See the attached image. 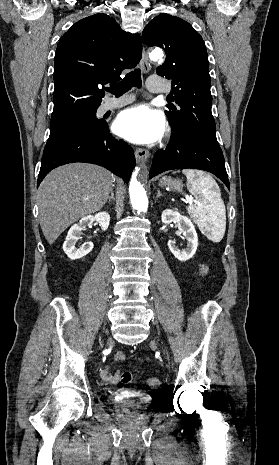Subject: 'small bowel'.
Returning a JSON list of instances; mask_svg holds the SVG:
<instances>
[{
	"mask_svg": "<svg viewBox=\"0 0 279 465\" xmlns=\"http://www.w3.org/2000/svg\"><path fill=\"white\" fill-rule=\"evenodd\" d=\"M126 360V356L123 352H117L114 355L115 362H124ZM101 378L110 384H116L120 380V374L117 371H113L110 366H106L100 371Z\"/></svg>",
	"mask_w": 279,
	"mask_h": 465,
	"instance_id": "small-bowel-1",
	"label": "small bowel"
}]
</instances>
